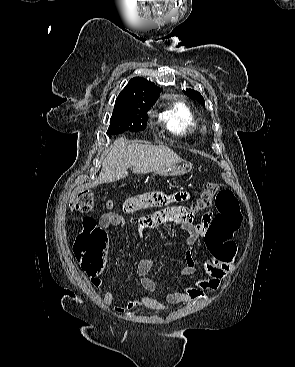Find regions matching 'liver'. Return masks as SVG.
<instances>
[{"instance_id":"6515ba94","label":"liver","mask_w":295,"mask_h":367,"mask_svg":"<svg viewBox=\"0 0 295 367\" xmlns=\"http://www.w3.org/2000/svg\"><path fill=\"white\" fill-rule=\"evenodd\" d=\"M182 159L167 146L130 144L126 138H118L102 160V169L94 185L111 183L128 176L127 169L133 167L134 174L158 172L178 164ZM82 188L71 196L73 201Z\"/></svg>"}]
</instances>
